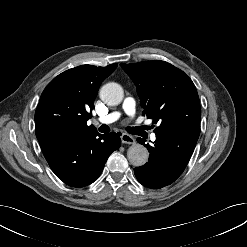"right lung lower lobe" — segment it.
<instances>
[{
    "label": "right lung lower lobe",
    "instance_id": "1",
    "mask_svg": "<svg viewBox=\"0 0 247 247\" xmlns=\"http://www.w3.org/2000/svg\"><path fill=\"white\" fill-rule=\"evenodd\" d=\"M119 135L62 133L43 154L59 179L80 188L100 176L110 154L121 145Z\"/></svg>",
    "mask_w": 247,
    "mask_h": 247
}]
</instances>
